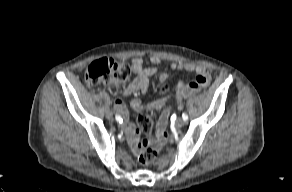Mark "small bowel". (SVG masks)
I'll return each instance as SVG.
<instances>
[{"label":"small bowel","mask_w":292,"mask_h":192,"mask_svg":"<svg viewBox=\"0 0 292 192\" xmlns=\"http://www.w3.org/2000/svg\"><path fill=\"white\" fill-rule=\"evenodd\" d=\"M151 66L144 67L143 60L141 58H133L130 63V68L132 72L135 74V78L132 82H130L127 86L122 89L121 96L127 97L135 92L146 93L149 87V78L155 75L159 71V67L161 64V59L158 56H152L150 59ZM169 68L171 70L177 71H188L195 72V79L190 82L188 85H184L182 82H179L176 86V93L174 95L163 96L154 102L148 104L147 106H143L139 99H135L132 101V107L141 111L146 109L149 112L157 111L164 106H166L169 102H173L176 105H181L185 97L191 93H194L201 88L206 87L211 79L209 70L203 65H197L193 63H176L172 62L169 64ZM169 78L168 73L161 72L159 74V80L162 83H165ZM116 108L120 113V117L125 119V122H120V126L122 130L125 132L128 143L133 150L134 153L139 154L144 145L149 142V144H153L156 149L161 150L165 146V141L168 140V125L171 120L172 112L170 109L165 108L162 110L160 114V119L157 122L156 130L157 133L154 134L153 138H146L144 140L140 139L141 132H144L140 127L137 128L134 124L130 123L127 120V110L122 103L121 98H118L116 101ZM152 125L149 131L146 134H149L151 131ZM145 133V132H144Z\"/></svg>","instance_id":"c3829d8e"}]
</instances>
